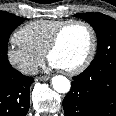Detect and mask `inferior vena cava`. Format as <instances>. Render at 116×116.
I'll list each match as a JSON object with an SVG mask.
<instances>
[{"label":"inferior vena cava","mask_w":116,"mask_h":116,"mask_svg":"<svg viewBox=\"0 0 116 116\" xmlns=\"http://www.w3.org/2000/svg\"><path fill=\"white\" fill-rule=\"evenodd\" d=\"M25 72L28 73V74H37L38 73V67L36 65H31V66H28L26 69H25Z\"/></svg>","instance_id":"1"}]
</instances>
